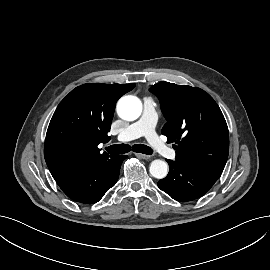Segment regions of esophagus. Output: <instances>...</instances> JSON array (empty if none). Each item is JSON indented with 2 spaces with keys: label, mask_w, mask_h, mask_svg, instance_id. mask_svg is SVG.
Masks as SVG:
<instances>
[{
  "label": "esophagus",
  "mask_w": 270,
  "mask_h": 270,
  "mask_svg": "<svg viewBox=\"0 0 270 270\" xmlns=\"http://www.w3.org/2000/svg\"><path fill=\"white\" fill-rule=\"evenodd\" d=\"M135 155L141 159L149 160L151 158L150 155L142 154V153H135Z\"/></svg>",
  "instance_id": "1"
}]
</instances>
